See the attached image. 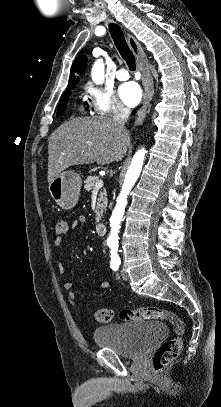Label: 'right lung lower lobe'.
I'll return each mask as SVG.
<instances>
[{
  "instance_id": "obj_1",
  "label": "right lung lower lobe",
  "mask_w": 221,
  "mask_h": 407,
  "mask_svg": "<svg viewBox=\"0 0 221 407\" xmlns=\"http://www.w3.org/2000/svg\"><path fill=\"white\" fill-rule=\"evenodd\" d=\"M135 112H136V111H135V109H134V110H133V114H135Z\"/></svg>"
}]
</instances>
